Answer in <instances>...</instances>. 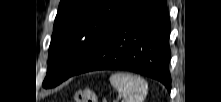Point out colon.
Returning a JSON list of instances; mask_svg holds the SVG:
<instances>
[{
    "label": "colon",
    "instance_id": "colon-1",
    "mask_svg": "<svg viewBox=\"0 0 221 102\" xmlns=\"http://www.w3.org/2000/svg\"><path fill=\"white\" fill-rule=\"evenodd\" d=\"M74 102H98V98L91 89L83 88L75 93Z\"/></svg>",
    "mask_w": 221,
    "mask_h": 102
}]
</instances>
